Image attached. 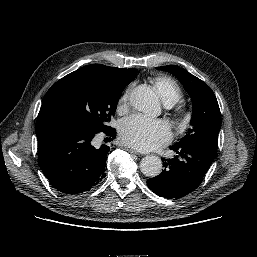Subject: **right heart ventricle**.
<instances>
[{
    "mask_svg": "<svg viewBox=\"0 0 257 257\" xmlns=\"http://www.w3.org/2000/svg\"><path fill=\"white\" fill-rule=\"evenodd\" d=\"M152 83L164 105L170 107L182 98V90L174 79L160 76L153 79Z\"/></svg>",
    "mask_w": 257,
    "mask_h": 257,
    "instance_id": "e07e8e85",
    "label": "right heart ventricle"
}]
</instances>
